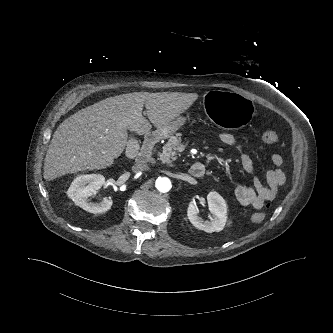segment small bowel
<instances>
[{
    "label": "small bowel",
    "mask_w": 333,
    "mask_h": 333,
    "mask_svg": "<svg viewBox=\"0 0 333 333\" xmlns=\"http://www.w3.org/2000/svg\"><path fill=\"white\" fill-rule=\"evenodd\" d=\"M220 141L228 146H234L240 158V163L243 171L252 176V185H238L234 189L235 198L242 204L252 206L260 209L267 201L275 198L279 187L285 182V175L282 171L283 159L280 155H273L271 160L274 168L267 172L266 182L262 183L256 176H254V165L252 158L243 149L241 145L236 142L234 135L230 132H223L220 134Z\"/></svg>",
    "instance_id": "1"
}]
</instances>
